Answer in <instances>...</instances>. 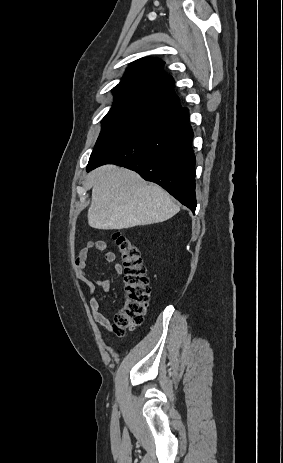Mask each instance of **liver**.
Instances as JSON below:
<instances>
[{"mask_svg":"<svg viewBox=\"0 0 283 463\" xmlns=\"http://www.w3.org/2000/svg\"><path fill=\"white\" fill-rule=\"evenodd\" d=\"M180 207L160 186L148 184L125 168L106 165L93 172L90 227L120 230L166 221Z\"/></svg>","mask_w":283,"mask_h":463,"instance_id":"6515ba94","label":"liver"}]
</instances>
